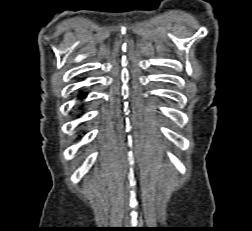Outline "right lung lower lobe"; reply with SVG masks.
Segmentation results:
<instances>
[{"label": "right lung lower lobe", "instance_id": "98d812e1", "mask_svg": "<svg viewBox=\"0 0 252 231\" xmlns=\"http://www.w3.org/2000/svg\"><path fill=\"white\" fill-rule=\"evenodd\" d=\"M86 93H84V92H81L80 94H79V99H83V98H85L86 97Z\"/></svg>", "mask_w": 252, "mask_h": 231}]
</instances>
